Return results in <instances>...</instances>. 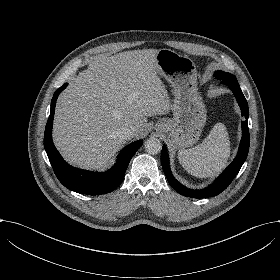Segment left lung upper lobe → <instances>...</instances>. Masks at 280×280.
<instances>
[{"mask_svg": "<svg viewBox=\"0 0 280 280\" xmlns=\"http://www.w3.org/2000/svg\"><path fill=\"white\" fill-rule=\"evenodd\" d=\"M214 76L216 79H219V80H221L223 78H227V77L233 79L235 77L234 75L227 73V72H223V71H216L214 73Z\"/></svg>", "mask_w": 280, "mask_h": 280, "instance_id": "obj_1", "label": "left lung upper lobe"}]
</instances>
